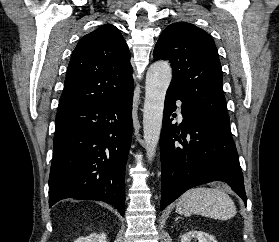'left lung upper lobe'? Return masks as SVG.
Instances as JSON below:
<instances>
[{"label":"left lung upper lobe","mask_w":279,"mask_h":242,"mask_svg":"<svg viewBox=\"0 0 279 242\" xmlns=\"http://www.w3.org/2000/svg\"><path fill=\"white\" fill-rule=\"evenodd\" d=\"M153 56L170 61L173 79L168 89L185 107L230 130L219 55L207 32L187 22L173 23L160 35Z\"/></svg>","instance_id":"5c2ea615"}]
</instances>
